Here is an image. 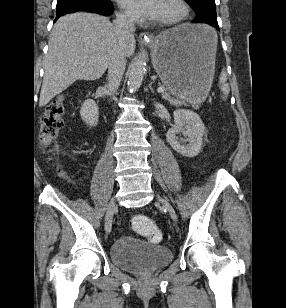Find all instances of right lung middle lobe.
Instances as JSON below:
<instances>
[{
	"label": "right lung middle lobe",
	"mask_w": 286,
	"mask_h": 308,
	"mask_svg": "<svg viewBox=\"0 0 286 308\" xmlns=\"http://www.w3.org/2000/svg\"><path fill=\"white\" fill-rule=\"evenodd\" d=\"M88 3L109 5L111 4V1L110 0H57V8H61L63 6H68L72 4H88Z\"/></svg>",
	"instance_id": "dd1d6c3e"
}]
</instances>
